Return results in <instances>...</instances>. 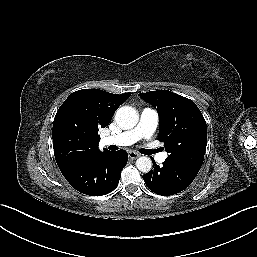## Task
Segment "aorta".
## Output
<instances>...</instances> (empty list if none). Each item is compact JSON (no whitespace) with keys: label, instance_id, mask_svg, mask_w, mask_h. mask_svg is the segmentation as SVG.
<instances>
[{"label":"aorta","instance_id":"1","mask_svg":"<svg viewBox=\"0 0 257 257\" xmlns=\"http://www.w3.org/2000/svg\"><path fill=\"white\" fill-rule=\"evenodd\" d=\"M115 120L119 126L124 129H131L138 123V112L130 106L120 107L116 111ZM136 167L139 171L147 173L152 168V161L150 158L142 156L136 160Z\"/></svg>","mask_w":257,"mask_h":257}]
</instances>
